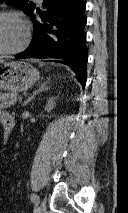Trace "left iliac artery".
Wrapping results in <instances>:
<instances>
[{"instance_id": "left-iliac-artery-1", "label": "left iliac artery", "mask_w": 128, "mask_h": 213, "mask_svg": "<svg viewBox=\"0 0 128 213\" xmlns=\"http://www.w3.org/2000/svg\"><path fill=\"white\" fill-rule=\"evenodd\" d=\"M30 198H31L32 202H34L36 204L39 203V197L36 194L32 193L31 196H30Z\"/></svg>"}]
</instances>
